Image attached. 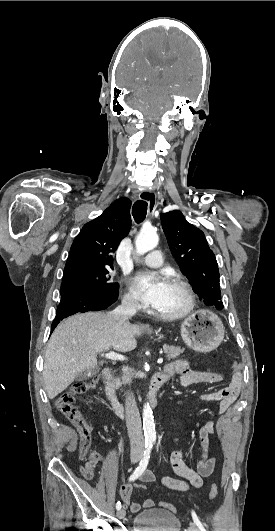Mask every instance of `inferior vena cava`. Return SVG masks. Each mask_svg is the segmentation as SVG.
<instances>
[{
  "label": "inferior vena cava",
  "mask_w": 275,
  "mask_h": 531,
  "mask_svg": "<svg viewBox=\"0 0 275 531\" xmlns=\"http://www.w3.org/2000/svg\"><path fill=\"white\" fill-rule=\"evenodd\" d=\"M136 313V301L134 299H127L122 303L121 307H117L112 313H108L110 317H114L119 323L127 321ZM125 421L130 439L131 449H144V437L140 419L139 409L135 401V397L131 391L125 397Z\"/></svg>",
  "instance_id": "1"
}]
</instances>
